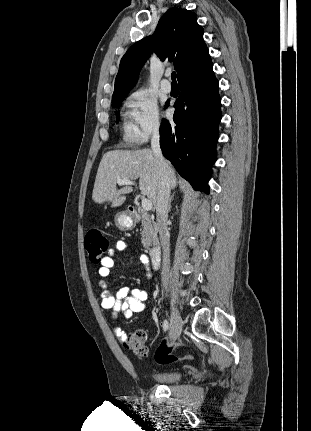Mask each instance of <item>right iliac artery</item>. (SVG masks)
<instances>
[{"label": "right iliac artery", "instance_id": "1", "mask_svg": "<svg viewBox=\"0 0 311 431\" xmlns=\"http://www.w3.org/2000/svg\"><path fill=\"white\" fill-rule=\"evenodd\" d=\"M168 328H169V322H168V320L165 319L164 323H163V329H164V331H167Z\"/></svg>", "mask_w": 311, "mask_h": 431}]
</instances>
